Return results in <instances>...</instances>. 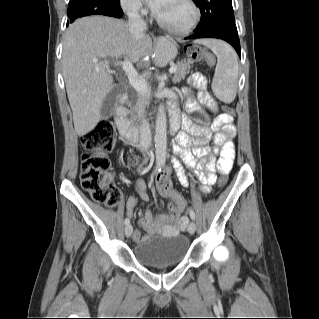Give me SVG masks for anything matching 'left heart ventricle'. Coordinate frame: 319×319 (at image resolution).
<instances>
[{"label": "left heart ventricle", "mask_w": 319, "mask_h": 319, "mask_svg": "<svg viewBox=\"0 0 319 319\" xmlns=\"http://www.w3.org/2000/svg\"><path fill=\"white\" fill-rule=\"evenodd\" d=\"M157 15L169 24L180 26L190 20L192 11L183 0H166Z\"/></svg>", "instance_id": "obj_1"}]
</instances>
